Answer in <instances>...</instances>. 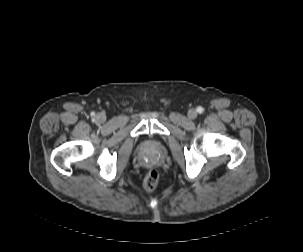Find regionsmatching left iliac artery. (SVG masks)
Wrapping results in <instances>:
<instances>
[{
	"label": "left iliac artery",
	"instance_id": "left-iliac-artery-1",
	"mask_svg": "<svg viewBox=\"0 0 303 252\" xmlns=\"http://www.w3.org/2000/svg\"><path fill=\"white\" fill-rule=\"evenodd\" d=\"M201 111H202V108H199V109H198V112H201Z\"/></svg>",
	"mask_w": 303,
	"mask_h": 252
}]
</instances>
